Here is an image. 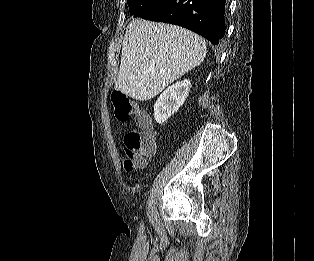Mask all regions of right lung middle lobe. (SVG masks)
Wrapping results in <instances>:
<instances>
[{
  "mask_svg": "<svg viewBox=\"0 0 314 261\" xmlns=\"http://www.w3.org/2000/svg\"><path fill=\"white\" fill-rule=\"evenodd\" d=\"M166 0H127L130 14L143 17L150 11L162 5Z\"/></svg>",
  "mask_w": 314,
  "mask_h": 261,
  "instance_id": "right-lung-middle-lobe-1",
  "label": "right lung middle lobe"
}]
</instances>
